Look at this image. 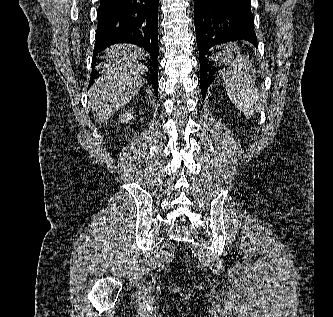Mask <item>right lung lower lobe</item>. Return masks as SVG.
Masks as SVG:
<instances>
[{"instance_id":"1","label":"right lung lower lobe","mask_w":333,"mask_h":317,"mask_svg":"<svg viewBox=\"0 0 333 317\" xmlns=\"http://www.w3.org/2000/svg\"><path fill=\"white\" fill-rule=\"evenodd\" d=\"M158 0H100L98 26L93 53L95 58L105 48L117 43L136 44L151 55L150 71L145 76L158 96ZM94 78L92 77V81Z\"/></svg>"}]
</instances>
